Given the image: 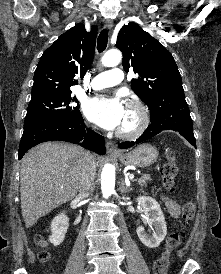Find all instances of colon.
Instances as JSON below:
<instances>
[{
    "label": "colon",
    "mask_w": 221,
    "mask_h": 274,
    "mask_svg": "<svg viewBox=\"0 0 221 274\" xmlns=\"http://www.w3.org/2000/svg\"><path fill=\"white\" fill-rule=\"evenodd\" d=\"M167 163L163 166L161 174L164 187L169 190H174L175 177L177 174L176 156L174 152L170 151L167 155ZM195 215V206L191 202H187L183 206L182 218L186 226L192 221ZM185 236V231L173 232L166 240V247L162 255L156 260L154 264V274H167L169 261L173 251L182 243ZM36 244L43 247L45 241L42 235H37L35 238ZM41 261H47L49 254L42 250L39 253Z\"/></svg>",
    "instance_id": "1"
}]
</instances>
